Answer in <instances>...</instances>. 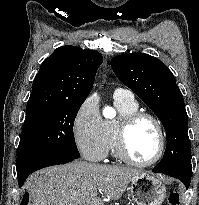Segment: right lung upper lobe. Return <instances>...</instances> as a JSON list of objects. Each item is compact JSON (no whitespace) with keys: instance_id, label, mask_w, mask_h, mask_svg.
<instances>
[{"instance_id":"right-lung-upper-lobe-1","label":"right lung upper lobe","mask_w":199,"mask_h":205,"mask_svg":"<svg viewBox=\"0 0 199 205\" xmlns=\"http://www.w3.org/2000/svg\"><path fill=\"white\" fill-rule=\"evenodd\" d=\"M102 55L76 46L57 48L46 58L34 78L26 112L51 104L85 101Z\"/></svg>"}]
</instances>
